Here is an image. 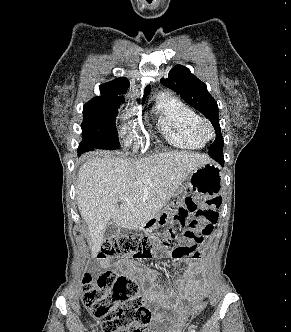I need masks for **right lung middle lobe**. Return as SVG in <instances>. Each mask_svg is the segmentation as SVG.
I'll use <instances>...</instances> for the list:
<instances>
[{
	"label": "right lung middle lobe",
	"mask_w": 291,
	"mask_h": 332,
	"mask_svg": "<svg viewBox=\"0 0 291 332\" xmlns=\"http://www.w3.org/2000/svg\"><path fill=\"white\" fill-rule=\"evenodd\" d=\"M124 100H91L83 107L82 142L78 155L94 148L114 149L120 146L115 118Z\"/></svg>",
	"instance_id": "1"
}]
</instances>
